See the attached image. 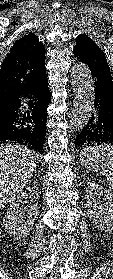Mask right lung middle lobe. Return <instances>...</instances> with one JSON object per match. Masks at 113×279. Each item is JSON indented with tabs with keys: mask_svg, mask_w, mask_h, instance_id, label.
I'll return each instance as SVG.
<instances>
[{
	"mask_svg": "<svg viewBox=\"0 0 113 279\" xmlns=\"http://www.w3.org/2000/svg\"><path fill=\"white\" fill-rule=\"evenodd\" d=\"M10 110H11V108L0 110V121L9 116Z\"/></svg>",
	"mask_w": 113,
	"mask_h": 279,
	"instance_id": "obj_1",
	"label": "right lung middle lobe"
}]
</instances>
